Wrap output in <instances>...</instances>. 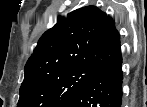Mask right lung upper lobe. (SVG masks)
I'll use <instances>...</instances> for the list:
<instances>
[{"mask_svg":"<svg viewBox=\"0 0 147 107\" xmlns=\"http://www.w3.org/2000/svg\"><path fill=\"white\" fill-rule=\"evenodd\" d=\"M120 49L111 18L95 6L74 10L47 30L25 65V76L75 67L99 69Z\"/></svg>","mask_w":147,"mask_h":107,"instance_id":"right-lung-upper-lobe-1","label":"right lung upper lobe"}]
</instances>
